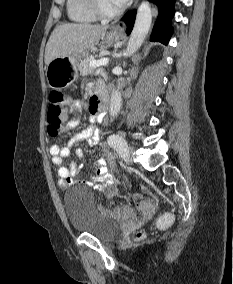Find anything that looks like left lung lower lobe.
Masks as SVG:
<instances>
[{
	"label": "left lung lower lobe",
	"instance_id": "left-lung-lower-lobe-1",
	"mask_svg": "<svg viewBox=\"0 0 233 284\" xmlns=\"http://www.w3.org/2000/svg\"><path fill=\"white\" fill-rule=\"evenodd\" d=\"M157 4L159 8V15L151 34V41H158L164 45H167L170 36L173 32L171 26V18L174 16V3L175 0H150ZM136 11L128 13L124 21L127 24L126 33L129 35L132 31L133 24L135 21Z\"/></svg>",
	"mask_w": 233,
	"mask_h": 284
}]
</instances>
